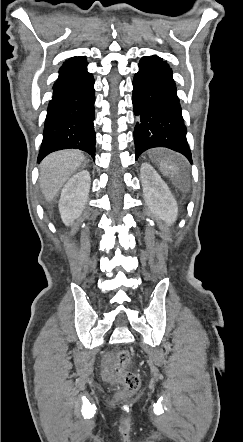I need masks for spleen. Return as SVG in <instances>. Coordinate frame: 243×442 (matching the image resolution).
Listing matches in <instances>:
<instances>
[{
  "mask_svg": "<svg viewBox=\"0 0 243 442\" xmlns=\"http://www.w3.org/2000/svg\"><path fill=\"white\" fill-rule=\"evenodd\" d=\"M159 168L161 172L166 176L173 177L176 174V167L171 163V161H169V159L161 160Z\"/></svg>",
  "mask_w": 243,
  "mask_h": 442,
  "instance_id": "obj_1",
  "label": "spleen"
}]
</instances>
